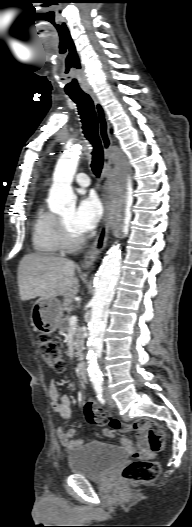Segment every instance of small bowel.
Masks as SVG:
<instances>
[{"label":"small bowel","instance_id":"obj_1","mask_svg":"<svg viewBox=\"0 0 192 527\" xmlns=\"http://www.w3.org/2000/svg\"><path fill=\"white\" fill-rule=\"evenodd\" d=\"M48 395L51 400V406L53 410L56 412V414L59 415L63 419L70 418L72 414L71 401L67 395H61L59 393V390L54 381H51L49 384ZM130 429H133V427L127 426V429L125 431H128ZM138 431H139L140 447H141L140 452H136L134 450L131 442L128 439H125V438L121 439L120 444L128 451L127 457L129 460L134 461L137 459V457H141L140 461L142 463H145L147 461L146 457L151 455L153 451L147 445L145 431L144 430H138ZM102 432L105 437L111 438L114 436V433L111 429H103ZM57 435H58L61 445L67 450H73L84 444L83 439L76 438V430L74 428L63 430L61 427H59L57 429Z\"/></svg>","mask_w":192,"mask_h":527}]
</instances>
